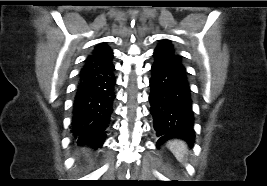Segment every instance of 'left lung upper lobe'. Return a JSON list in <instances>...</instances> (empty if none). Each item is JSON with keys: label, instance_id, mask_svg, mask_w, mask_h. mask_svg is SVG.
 Listing matches in <instances>:
<instances>
[{"label": "left lung upper lobe", "instance_id": "obj_1", "mask_svg": "<svg viewBox=\"0 0 267 186\" xmlns=\"http://www.w3.org/2000/svg\"><path fill=\"white\" fill-rule=\"evenodd\" d=\"M154 53L161 55L164 59L168 61L183 66L180 56L177 54L169 40H162L154 50Z\"/></svg>", "mask_w": 267, "mask_h": 186}]
</instances>
